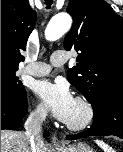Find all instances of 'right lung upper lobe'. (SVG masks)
I'll list each match as a JSON object with an SVG mask.
<instances>
[{"label": "right lung upper lobe", "mask_w": 123, "mask_h": 152, "mask_svg": "<svg viewBox=\"0 0 123 152\" xmlns=\"http://www.w3.org/2000/svg\"><path fill=\"white\" fill-rule=\"evenodd\" d=\"M35 22L28 0H1V67L18 69Z\"/></svg>", "instance_id": "1"}]
</instances>
